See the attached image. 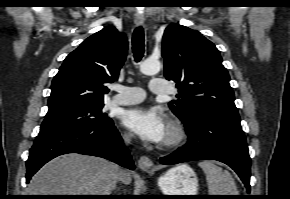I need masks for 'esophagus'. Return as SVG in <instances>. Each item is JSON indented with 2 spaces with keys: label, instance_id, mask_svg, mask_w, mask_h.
Segmentation results:
<instances>
[{
  "label": "esophagus",
  "instance_id": "1",
  "mask_svg": "<svg viewBox=\"0 0 290 199\" xmlns=\"http://www.w3.org/2000/svg\"><path fill=\"white\" fill-rule=\"evenodd\" d=\"M145 18L142 14H135L134 16V23L137 26H140L144 23ZM138 166L140 169L143 171H150L153 169L154 164L152 160L148 156H141L140 159L138 160Z\"/></svg>",
  "mask_w": 290,
  "mask_h": 199
}]
</instances>
